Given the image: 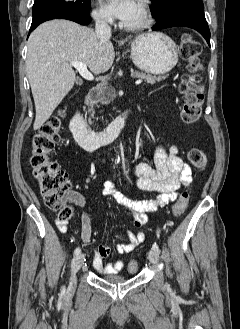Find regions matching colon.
Here are the masks:
<instances>
[{"label":"colon","instance_id":"obj_1","mask_svg":"<svg viewBox=\"0 0 240 329\" xmlns=\"http://www.w3.org/2000/svg\"><path fill=\"white\" fill-rule=\"evenodd\" d=\"M202 48L200 43L190 35H186L181 43V55L188 61L190 76L185 77L180 85L184 96L181 109V119L185 124L197 122L201 115L204 98V86L198 72L201 69L199 57ZM64 116L63 109H58L34 134L31 142V166L33 177L39 184L45 205L58 213L61 221H68L74 215L70 202L75 199L71 193V183L68 174L57 163L50 160L49 155L60 141L61 124ZM189 161L196 169H203L207 164L205 152L193 147L188 153ZM189 203V195L185 191L179 195L172 206L174 216L185 212ZM130 273L138 270L134 260L128 264Z\"/></svg>","mask_w":240,"mask_h":329}]
</instances>
